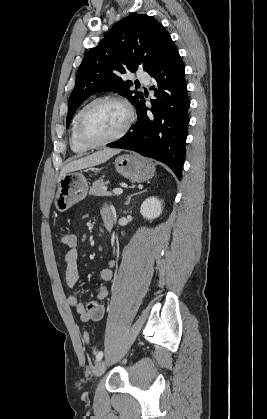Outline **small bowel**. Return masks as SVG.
Instances as JSON below:
<instances>
[{
    "mask_svg": "<svg viewBox=\"0 0 267 419\" xmlns=\"http://www.w3.org/2000/svg\"><path fill=\"white\" fill-rule=\"evenodd\" d=\"M101 216L103 221L107 218H113L112 212L108 207L101 209ZM79 253L75 246L70 247L65 254V279L69 289H74L80 279L78 269ZM113 278V262H110L109 266L104 268L100 272L101 283L97 289V296L99 300L107 298L109 295V288L106 285L107 282ZM67 303L72 307L77 314L80 316L82 322L100 321L105 314V307L98 301H91L87 304L83 303L76 294H71L67 298Z\"/></svg>",
    "mask_w": 267,
    "mask_h": 419,
    "instance_id": "1",
    "label": "small bowel"
}]
</instances>
